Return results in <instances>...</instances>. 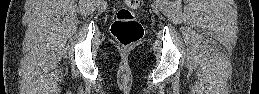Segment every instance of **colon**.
<instances>
[{
  "label": "colon",
  "instance_id": "obj_1",
  "mask_svg": "<svg viewBox=\"0 0 259 94\" xmlns=\"http://www.w3.org/2000/svg\"><path fill=\"white\" fill-rule=\"evenodd\" d=\"M139 5V0H126L125 6L117 11L112 23L111 33L124 47L136 44L143 36V27L135 13Z\"/></svg>",
  "mask_w": 259,
  "mask_h": 94
}]
</instances>
